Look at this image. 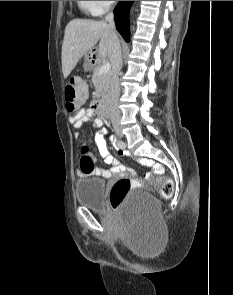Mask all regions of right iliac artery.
Here are the masks:
<instances>
[{"mask_svg": "<svg viewBox=\"0 0 233 295\" xmlns=\"http://www.w3.org/2000/svg\"><path fill=\"white\" fill-rule=\"evenodd\" d=\"M124 146V143L121 141H117V149Z\"/></svg>", "mask_w": 233, "mask_h": 295, "instance_id": "right-iliac-artery-1", "label": "right iliac artery"}]
</instances>
